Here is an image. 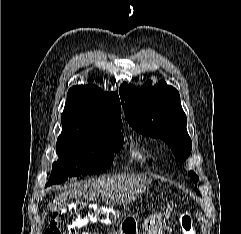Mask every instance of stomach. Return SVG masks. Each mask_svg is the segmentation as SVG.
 Wrapping results in <instances>:
<instances>
[{
	"label": "stomach",
	"mask_w": 241,
	"mask_h": 234,
	"mask_svg": "<svg viewBox=\"0 0 241 234\" xmlns=\"http://www.w3.org/2000/svg\"><path fill=\"white\" fill-rule=\"evenodd\" d=\"M137 221L132 217L126 218L120 228L121 234H126L128 231H133L134 234H138ZM142 234H162V227L159 217H148L143 223Z\"/></svg>",
	"instance_id": "0dacf381"
}]
</instances>
